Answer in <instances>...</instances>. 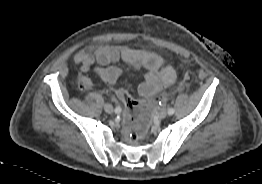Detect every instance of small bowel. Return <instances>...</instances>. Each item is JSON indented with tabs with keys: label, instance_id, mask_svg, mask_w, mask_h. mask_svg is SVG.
<instances>
[{
	"label": "small bowel",
	"instance_id": "small-bowel-1",
	"mask_svg": "<svg viewBox=\"0 0 262 184\" xmlns=\"http://www.w3.org/2000/svg\"><path fill=\"white\" fill-rule=\"evenodd\" d=\"M73 61L81 65L83 73H87L97 63L96 76L100 81L114 85L121 70L115 64L123 61L130 68L145 70L144 78L138 83L137 89L142 96H152L176 79V71L172 66H163L162 58L152 52L130 48L127 46L102 45L88 47L76 52ZM96 81L87 75L81 76L83 89H91Z\"/></svg>",
	"mask_w": 262,
	"mask_h": 184
}]
</instances>
